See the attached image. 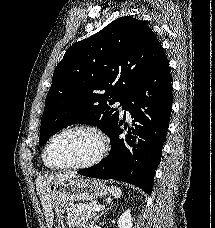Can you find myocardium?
I'll use <instances>...</instances> for the list:
<instances>
[{
  "mask_svg": "<svg viewBox=\"0 0 215 228\" xmlns=\"http://www.w3.org/2000/svg\"><path fill=\"white\" fill-rule=\"evenodd\" d=\"M75 130H84L94 134L99 143V148L97 152L91 158L81 163L71 164V165H66L61 167H53L49 165L46 159V154L50 144L60 135L70 131H75ZM108 150H109V139L102 129H100L98 126L93 124L77 123V124H72L62 128L47 140L42 151V161H43V164L52 171L82 170L98 164L106 156Z\"/></svg>",
  "mask_w": 215,
  "mask_h": 228,
  "instance_id": "myocardium-1",
  "label": "myocardium"
}]
</instances>
